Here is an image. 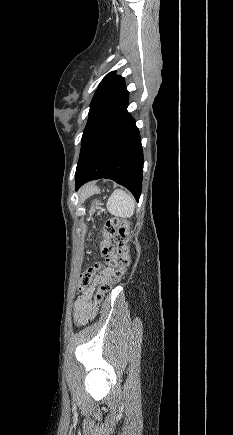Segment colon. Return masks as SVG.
<instances>
[{
  "instance_id": "obj_1",
  "label": "colon",
  "mask_w": 233,
  "mask_h": 435,
  "mask_svg": "<svg viewBox=\"0 0 233 435\" xmlns=\"http://www.w3.org/2000/svg\"><path fill=\"white\" fill-rule=\"evenodd\" d=\"M129 222L125 219L112 217L103 226L101 241V256L103 262H97L90 266L80 275V286L82 289L89 287L93 282L98 283L97 290L93 295V302L87 309V318H94L100 303L105 295L125 275L131 263L130 247L127 242ZM114 270L111 278L106 281H99L98 274L104 268Z\"/></svg>"
}]
</instances>
